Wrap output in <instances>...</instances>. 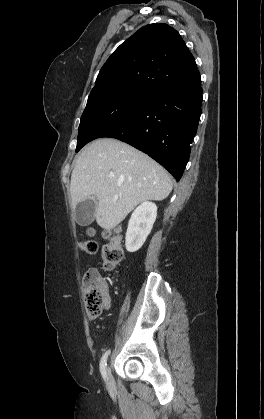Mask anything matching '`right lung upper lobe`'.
I'll list each match as a JSON object with an SVG mask.
<instances>
[{
  "label": "right lung upper lobe",
  "mask_w": 264,
  "mask_h": 419,
  "mask_svg": "<svg viewBox=\"0 0 264 419\" xmlns=\"http://www.w3.org/2000/svg\"><path fill=\"white\" fill-rule=\"evenodd\" d=\"M201 81L195 59L167 24H149L123 42L101 68L94 88L131 85L153 93Z\"/></svg>",
  "instance_id": "right-lung-upper-lobe-1"
}]
</instances>
